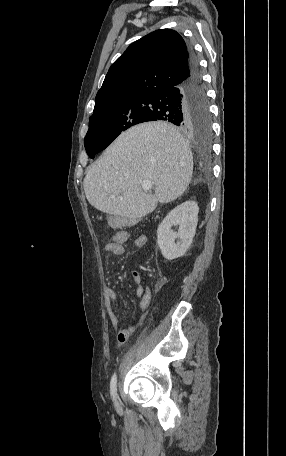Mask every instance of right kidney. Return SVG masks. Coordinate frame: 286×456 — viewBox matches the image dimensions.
Listing matches in <instances>:
<instances>
[{
    "mask_svg": "<svg viewBox=\"0 0 286 456\" xmlns=\"http://www.w3.org/2000/svg\"><path fill=\"white\" fill-rule=\"evenodd\" d=\"M198 212L195 201H186L171 210L158 226L157 244L165 259L179 258L189 249L196 232ZM175 225H179L178 232L172 230Z\"/></svg>",
    "mask_w": 286,
    "mask_h": 456,
    "instance_id": "right-kidney-1",
    "label": "right kidney"
}]
</instances>
